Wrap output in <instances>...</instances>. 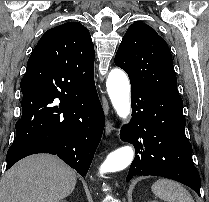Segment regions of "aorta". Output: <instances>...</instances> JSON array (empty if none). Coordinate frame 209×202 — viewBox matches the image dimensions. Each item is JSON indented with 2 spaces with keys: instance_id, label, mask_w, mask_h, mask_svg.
<instances>
[{
  "instance_id": "obj_1",
  "label": "aorta",
  "mask_w": 209,
  "mask_h": 202,
  "mask_svg": "<svg viewBox=\"0 0 209 202\" xmlns=\"http://www.w3.org/2000/svg\"><path fill=\"white\" fill-rule=\"evenodd\" d=\"M107 92L117 115L126 122L131 113L130 83L126 73L112 69L106 81ZM134 158V149L126 145L111 152L99 168V174L116 172L125 169Z\"/></svg>"
}]
</instances>
